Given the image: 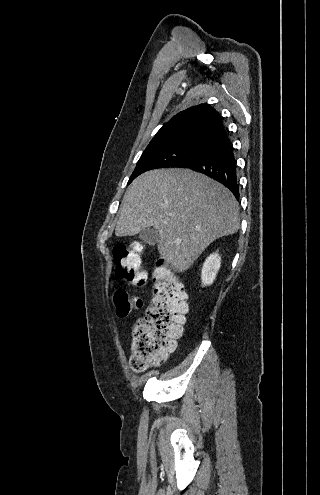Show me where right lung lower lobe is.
I'll return each instance as SVG.
<instances>
[{
	"mask_svg": "<svg viewBox=\"0 0 320 495\" xmlns=\"http://www.w3.org/2000/svg\"><path fill=\"white\" fill-rule=\"evenodd\" d=\"M177 167L189 168L217 180L230 189L237 200L239 199L234 148L227 130L224 129L207 139L201 148Z\"/></svg>",
	"mask_w": 320,
	"mask_h": 495,
	"instance_id": "right-lung-lower-lobe-1",
	"label": "right lung lower lobe"
}]
</instances>
